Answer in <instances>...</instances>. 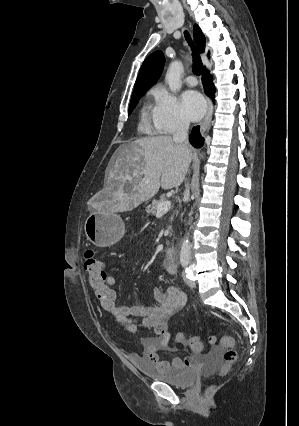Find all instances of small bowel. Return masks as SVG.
Segmentation results:
<instances>
[{"label": "small bowel", "mask_w": 299, "mask_h": 426, "mask_svg": "<svg viewBox=\"0 0 299 426\" xmlns=\"http://www.w3.org/2000/svg\"><path fill=\"white\" fill-rule=\"evenodd\" d=\"M163 265L169 274L176 272L175 262L170 263L164 260ZM107 282L114 286L116 278L107 273ZM153 294L155 299V304L153 305L116 303L112 308L108 309L118 322L126 326L128 332L133 334L140 331L154 332L152 336L141 337L142 355L134 353L130 355V358L134 362L146 359L160 369L169 366L195 367L198 358L194 354L185 358H175L171 363L160 357L161 352L174 350L170 346L171 333L168 327V320L185 305L186 297L184 293L177 286H170L166 291L155 288Z\"/></svg>", "instance_id": "obj_1"}]
</instances>
